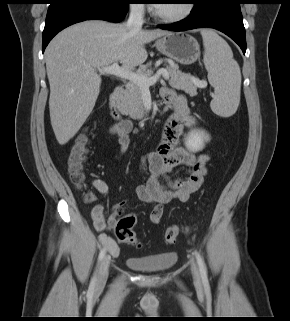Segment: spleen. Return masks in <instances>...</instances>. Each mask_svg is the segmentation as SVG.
<instances>
[{
  "mask_svg": "<svg viewBox=\"0 0 290 321\" xmlns=\"http://www.w3.org/2000/svg\"><path fill=\"white\" fill-rule=\"evenodd\" d=\"M204 65L209 83L214 87L212 111L222 117L232 116L240 103L241 72L228 43L215 31H201Z\"/></svg>",
  "mask_w": 290,
  "mask_h": 321,
  "instance_id": "3e777b00",
  "label": "spleen"
}]
</instances>
